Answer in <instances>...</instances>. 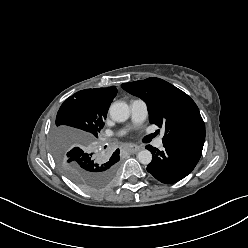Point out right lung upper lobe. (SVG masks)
<instances>
[{
	"instance_id": "right-lung-upper-lobe-1",
	"label": "right lung upper lobe",
	"mask_w": 248,
	"mask_h": 248,
	"mask_svg": "<svg viewBox=\"0 0 248 248\" xmlns=\"http://www.w3.org/2000/svg\"><path fill=\"white\" fill-rule=\"evenodd\" d=\"M87 103L96 110L108 111V108L117 94L116 87L85 89L80 91Z\"/></svg>"
}]
</instances>
